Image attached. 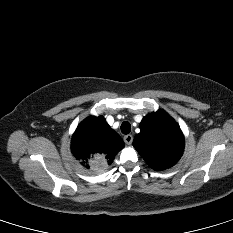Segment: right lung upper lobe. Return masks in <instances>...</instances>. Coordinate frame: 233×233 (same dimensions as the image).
I'll use <instances>...</instances> for the list:
<instances>
[{
	"instance_id": "obj_1",
	"label": "right lung upper lobe",
	"mask_w": 233,
	"mask_h": 233,
	"mask_svg": "<svg viewBox=\"0 0 233 233\" xmlns=\"http://www.w3.org/2000/svg\"><path fill=\"white\" fill-rule=\"evenodd\" d=\"M71 147L83 168L98 173L113 162L124 142L102 116H90L77 127Z\"/></svg>"
}]
</instances>
